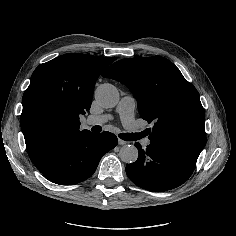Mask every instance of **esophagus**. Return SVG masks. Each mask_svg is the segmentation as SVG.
Wrapping results in <instances>:
<instances>
[{"label":"esophagus","instance_id":"1","mask_svg":"<svg viewBox=\"0 0 236 236\" xmlns=\"http://www.w3.org/2000/svg\"><path fill=\"white\" fill-rule=\"evenodd\" d=\"M118 144L119 145H125L126 141L122 140V139H118Z\"/></svg>","mask_w":236,"mask_h":236}]
</instances>
